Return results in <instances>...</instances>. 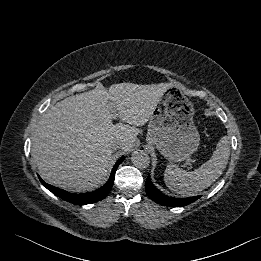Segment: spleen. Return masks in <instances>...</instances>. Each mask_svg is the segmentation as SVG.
Masks as SVG:
<instances>
[{"instance_id": "3e777b00", "label": "spleen", "mask_w": 261, "mask_h": 261, "mask_svg": "<svg viewBox=\"0 0 261 261\" xmlns=\"http://www.w3.org/2000/svg\"><path fill=\"white\" fill-rule=\"evenodd\" d=\"M229 155V138L223 136L217 143L210 160L198 169L188 172L173 164H168L164 173L165 184L170 190L180 195H194L209 187L220 177L228 163Z\"/></svg>"}]
</instances>
